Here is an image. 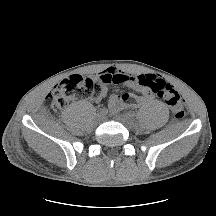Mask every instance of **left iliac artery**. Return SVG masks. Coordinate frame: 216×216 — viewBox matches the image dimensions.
Masks as SVG:
<instances>
[{
	"label": "left iliac artery",
	"instance_id": "1",
	"mask_svg": "<svg viewBox=\"0 0 216 216\" xmlns=\"http://www.w3.org/2000/svg\"><path fill=\"white\" fill-rule=\"evenodd\" d=\"M128 115L131 116V117H134L135 113L134 112H129Z\"/></svg>",
	"mask_w": 216,
	"mask_h": 216
}]
</instances>
